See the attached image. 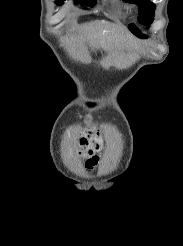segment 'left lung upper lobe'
<instances>
[{"label":"left lung upper lobe","instance_id":"left-lung-upper-lobe-1","mask_svg":"<svg viewBox=\"0 0 183 246\" xmlns=\"http://www.w3.org/2000/svg\"><path fill=\"white\" fill-rule=\"evenodd\" d=\"M126 1H129L131 3H136L139 6L140 16L138 20L142 24L149 26L152 23L154 17V9H155L154 3L150 2L149 0H126ZM129 29L133 34H135L139 38L146 37L138 30V28H136L133 25H130Z\"/></svg>","mask_w":183,"mask_h":246}]
</instances>
